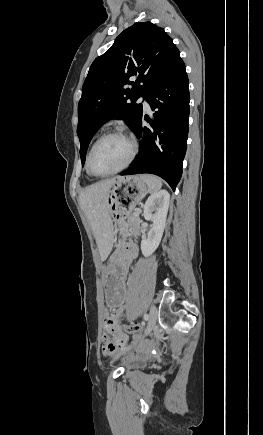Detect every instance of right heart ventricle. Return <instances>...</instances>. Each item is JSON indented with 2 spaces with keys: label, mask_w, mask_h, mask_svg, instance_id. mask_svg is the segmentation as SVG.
Returning a JSON list of instances; mask_svg holds the SVG:
<instances>
[{
  "label": "right heart ventricle",
  "mask_w": 263,
  "mask_h": 435,
  "mask_svg": "<svg viewBox=\"0 0 263 435\" xmlns=\"http://www.w3.org/2000/svg\"><path fill=\"white\" fill-rule=\"evenodd\" d=\"M86 171H87L88 175L93 176V175H91V174L89 173V171L87 170V168H86Z\"/></svg>",
  "instance_id": "1"
}]
</instances>
